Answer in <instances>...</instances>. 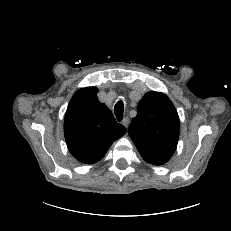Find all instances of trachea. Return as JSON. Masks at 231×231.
Segmentation results:
<instances>
[{"label": "trachea", "instance_id": "3493384b", "mask_svg": "<svg viewBox=\"0 0 231 231\" xmlns=\"http://www.w3.org/2000/svg\"><path fill=\"white\" fill-rule=\"evenodd\" d=\"M114 113L118 121H122L124 113V105L122 101H118L114 107Z\"/></svg>", "mask_w": 231, "mask_h": 231}]
</instances>
